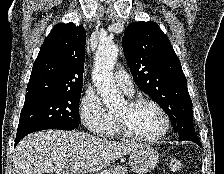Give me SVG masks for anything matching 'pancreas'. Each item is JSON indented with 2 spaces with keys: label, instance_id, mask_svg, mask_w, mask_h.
<instances>
[{
  "label": "pancreas",
  "instance_id": "cf45deb5",
  "mask_svg": "<svg viewBox=\"0 0 224 174\" xmlns=\"http://www.w3.org/2000/svg\"><path fill=\"white\" fill-rule=\"evenodd\" d=\"M99 174H128V171L125 167H122L121 165H113L108 169L103 170Z\"/></svg>",
  "mask_w": 224,
  "mask_h": 174
}]
</instances>
